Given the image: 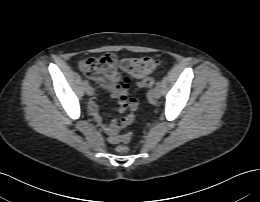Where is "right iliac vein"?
Returning <instances> with one entry per match:
<instances>
[{
	"instance_id": "obj_1",
	"label": "right iliac vein",
	"mask_w": 260,
	"mask_h": 202,
	"mask_svg": "<svg viewBox=\"0 0 260 202\" xmlns=\"http://www.w3.org/2000/svg\"><path fill=\"white\" fill-rule=\"evenodd\" d=\"M93 93H94L93 88L90 87V86H88V87L86 88V94H87L88 96H92Z\"/></svg>"
}]
</instances>
